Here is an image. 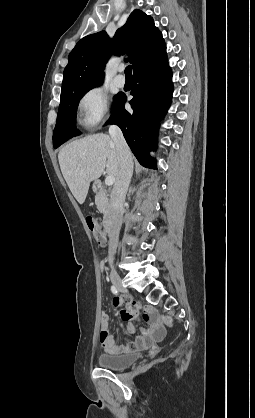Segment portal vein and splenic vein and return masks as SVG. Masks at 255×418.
Returning <instances> with one entry per match:
<instances>
[{
  "instance_id": "portal-vein-and-splenic-vein-1",
  "label": "portal vein and splenic vein",
  "mask_w": 255,
  "mask_h": 418,
  "mask_svg": "<svg viewBox=\"0 0 255 418\" xmlns=\"http://www.w3.org/2000/svg\"><path fill=\"white\" fill-rule=\"evenodd\" d=\"M114 182H115V177H114V176H112V175H108V176L105 178V184H106L107 186H111V185H113V184H114Z\"/></svg>"
}]
</instances>
